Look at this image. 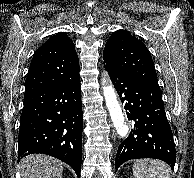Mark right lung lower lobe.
<instances>
[{
  "label": "right lung lower lobe",
  "instance_id": "98d812e1",
  "mask_svg": "<svg viewBox=\"0 0 194 178\" xmlns=\"http://www.w3.org/2000/svg\"><path fill=\"white\" fill-rule=\"evenodd\" d=\"M83 114L80 76L25 92L18 136L19 157L33 153L53 156L81 171Z\"/></svg>",
  "mask_w": 194,
  "mask_h": 178
}]
</instances>
